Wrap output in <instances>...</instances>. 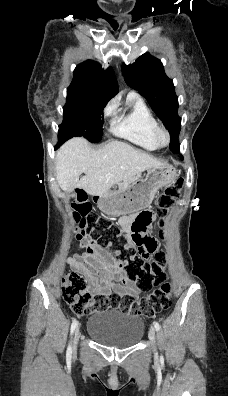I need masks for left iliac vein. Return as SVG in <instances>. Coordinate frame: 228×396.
<instances>
[{"instance_id": "left-iliac-vein-1", "label": "left iliac vein", "mask_w": 228, "mask_h": 396, "mask_svg": "<svg viewBox=\"0 0 228 396\" xmlns=\"http://www.w3.org/2000/svg\"><path fill=\"white\" fill-rule=\"evenodd\" d=\"M148 336H149L150 341L152 343H154L155 342V338H156V332H155V329L153 327L150 328Z\"/></svg>"}]
</instances>
